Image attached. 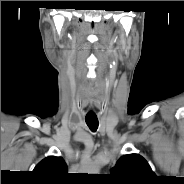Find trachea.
<instances>
[{
    "instance_id": "trachea-1",
    "label": "trachea",
    "mask_w": 184,
    "mask_h": 184,
    "mask_svg": "<svg viewBox=\"0 0 184 184\" xmlns=\"http://www.w3.org/2000/svg\"><path fill=\"white\" fill-rule=\"evenodd\" d=\"M86 124L91 131L95 132L98 128V119L97 118H85Z\"/></svg>"
}]
</instances>
